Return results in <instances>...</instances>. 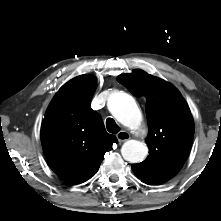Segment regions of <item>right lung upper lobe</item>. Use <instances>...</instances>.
<instances>
[{
	"label": "right lung upper lobe",
	"instance_id": "right-lung-upper-lobe-1",
	"mask_svg": "<svg viewBox=\"0 0 221 221\" xmlns=\"http://www.w3.org/2000/svg\"><path fill=\"white\" fill-rule=\"evenodd\" d=\"M96 83V78L89 75L68 81L51 101L41 127L50 167L71 184L94 176L105 153L117 142L106 132L101 116L91 109Z\"/></svg>",
	"mask_w": 221,
	"mask_h": 221
}]
</instances>
